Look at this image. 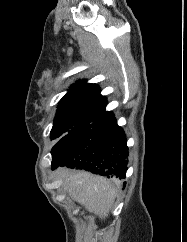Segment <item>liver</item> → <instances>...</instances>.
<instances>
[{"mask_svg": "<svg viewBox=\"0 0 187 242\" xmlns=\"http://www.w3.org/2000/svg\"><path fill=\"white\" fill-rule=\"evenodd\" d=\"M57 174L63 179L64 191L68 192L74 201L101 219L108 217L116 195L115 188L108 179L87 171L66 168L58 169Z\"/></svg>", "mask_w": 187, "mask_h": 242, "instance_id": "6515ba94", "label": "liver"}]
</instances>
